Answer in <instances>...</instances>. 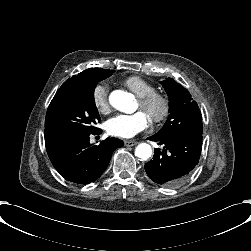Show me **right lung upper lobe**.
Listing matches in <instances>:
<instances>
[{"label": "right lung upper lobe", "mask_w": 251, "mask_h": 251, "mask_svg": "<svg viewBox=\"0 0 251 251\" xmlns=\"http://www.w3.org/2000/svg\"><path fill=\"white\" fill-rule=\"evenodd\" d=\"M77 76H73V77H71V78H69L66 82H69V81H72L74 78H76ZM46 145H49V144H51V143H45Z\"/></svg>", "instance_id": "1"}]
</instances>
